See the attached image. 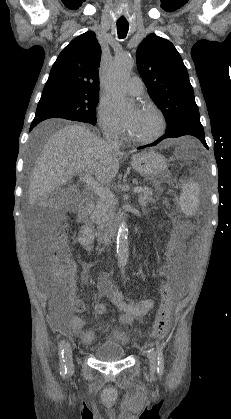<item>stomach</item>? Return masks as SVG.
<instances>
[{
    "instance_id": "obj_1",
    "label": "stomach",
    "mask_w": 231,
    "mask_h": 419,
    "mask_svg": "<svg viewBox=\"0 0 231 419\" xmlns=\"http://www.w3.org/2000/svg\"><path fill=\"white\" fill-rule=\"evenodd\" d=\"M132 166L137 173L155 184L164 181L167 169L166 159L160 153L150 150L132 156Z\"/></svg>"
}]
</instances>
